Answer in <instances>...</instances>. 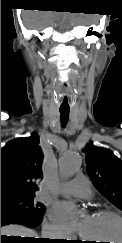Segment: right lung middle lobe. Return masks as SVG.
Returning <instances> with one entry per match:
<instances>
[{"instance_id":"right-lung-middle-lobe-1","label":"right lung middle lobe","mask_w":122,"mask_h":243,"mask_svg":"<svg viewBox=\"0 0 122 243\" xmlns=\"http://www.w3.org/2000/svg\"><path fill=\"white\" fill-rule=\"evenodd\" d=\"M34 197L35 195L1 197V208L16 209L42 217L45 207L42 203L35 202Z\"/></svg>"}]
</instances>
